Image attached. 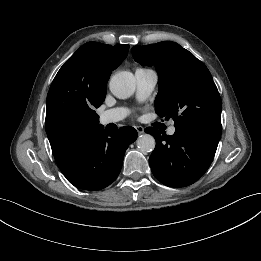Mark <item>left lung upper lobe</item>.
<instances>
[{
    "label": "left lung upper lobe",
    "instance_id": "obj_1",
    "mask_svg": "<svg viewBox=\"0 0 261 261\" xmlns=\"http://www.w3.org/2000/svg\"><path fill=\"white\" fill-rule=\"evenodd\" d=\"M134 59L159 75L155 111L175 128L221 132V99L203 62L179 44L163 41L132 48Z\"/></svg>",
    "mask_w": 261,
    "mask_h": 261
}]
</instances>
